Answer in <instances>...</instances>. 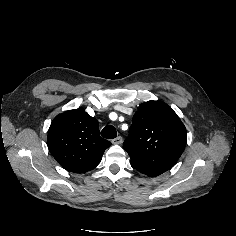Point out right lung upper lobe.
Wrapping results in <instances>:
<instances>
[{
	"instance_id": "cb5924a9",
	"label": "right lung upper lobe",
	"mask_w": 236,
	"mask_h": 236,
	"mask_svg": "<svg viewBox=\"0 0 236 236\" xmlns=\"http://www.w3.org/2000/svg\"><path fill=\"white\" fill-rule=\"evenodd\" d=\"M47 144L55 160L74 173L95 168L111 145L100 137L98 121L83 108L56 116L49 128Z\"/></svg>"
}]
</instances>
